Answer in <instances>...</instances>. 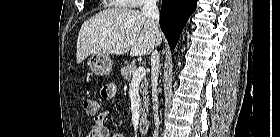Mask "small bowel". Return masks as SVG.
<instances>
[{
    "mask_svg": "<svg viewBox=\"0 0 280 137\" xmlns=\"http://www.w3.org/2000/svg\"><path fill=\"white\" fill-rule=\"evenodd\" d=\"M116 92H117V86L115 83H109L105 85L101 90L102 96L104 95V93L114 96ZM108 113H109L108 111H103L99 113L97 117L94 118V121L89 128L88 135H90L91 133H97L99 137H110L109 131L104 124V121L108 116ZM112 137H123V136L121 134H114Z\"/></svg>",
    "mask_w": 280,
    "mask_h": 137,
    "instance_id": "obj_1",
    "label": "small bowel"
}]
</instances>
